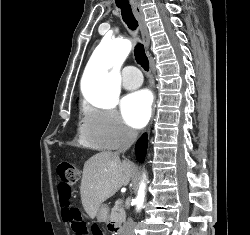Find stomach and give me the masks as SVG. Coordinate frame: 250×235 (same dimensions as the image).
<instances>
[{
	"instance_id": "stomach-1",
	"label": "stomach",
	"mask_w": 250,
	"mask_h": 235,
	"mask_svg": "<svg viewBox=\"0 0 250 235\" xmlns=\"http://www.w3.org/2000/svg\"><path fill=\"white\" fill-rule=\"evenodd\" d=\"M97 221L106 222L108 220V207L105 204H101L97 212Z\"/></svg>"
}]
</instances>
